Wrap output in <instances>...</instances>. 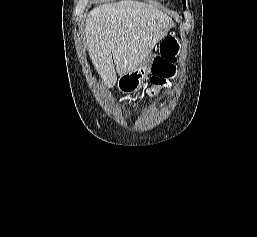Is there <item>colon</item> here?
<instances>
[{"mask_svg":"<svg viewBox=\"0 0 257 237\" xmlns=\"http://www.w3.org/2000/svg\"><path fill=\"white\" fill-rule=\"evenodd\" d=\"M179 42L174 35H167L160 44V53L156 57L150 78L148 93L155 95L162 88L169 87L175 75Z\"/></svg>","mask_w":257,"mask_h":237,"instance_id":"colon-1","label":"colon"}]
</instances>
